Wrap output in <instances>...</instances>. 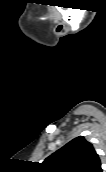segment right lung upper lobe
<instances>
[{"mask_svg":"<svg viewBox=\"0 0 106 172\" xmlns=\"http://www.w3.org/2000/svg\"><path fill=\"white\" fill-rule=\"evenodd\" d=\"M42 169L46 172H103L93 145L82 136L47 157Z\"/></svg>","mask_w":106,"mask_h":172,"instance_id":"cb5924a9","label":"right lung upper lobe"}]
</instances>
